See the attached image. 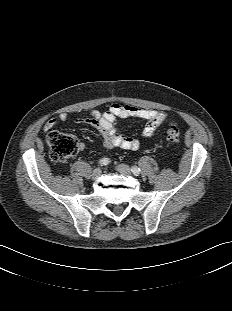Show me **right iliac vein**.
I'll use <instances>...</instances> for the list:
<instances>
[{
  "label": "right iliac vein",
  "mask_w": 232,
  "mask_h": 311,
  "mask_svg": "<svg viewBox=\"0 0 232 311\" xmlns=\"http://www.w3.org/2000/svg\"><path fill=\"white\" fill-rule=\"evenodd\" d=\"M101 173H102L101 169L96 168L92 173V179L97 180L101 176Z\"/></svg>",
  "instance_id": "right-iliac-vein-1"
}]
</instances>
